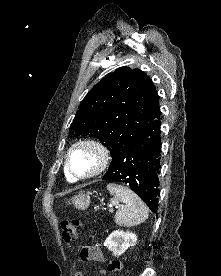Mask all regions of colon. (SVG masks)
Here are the masks:
<instances>
[{"instance_id":"obj_1","label":"colon","mask_w":221,"mask_h":276,"mask_svg":"<svg viewBox=\"0 0 221 276\" xmlns=\"http://www.w3.org/2000/svg\"><path fill=\"white\" fill-rule=\"evenodd\" d=\"M81 222L78 219L64 220L61 223L62 238L66 244L75 242L80 237ZM121 268L119 260L109 262L107 266V273L112 276Z\"/></svg>"}]
</instances>
